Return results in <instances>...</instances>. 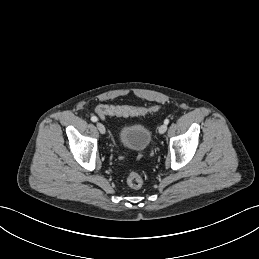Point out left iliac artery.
I'll use <instances>...</instances> for the list:
<instances>
[{"label":"left iliac artery","instance_id":"44dca946","mask_svg":"<svg viewBox=\"0 0 259 259\" xmlns=\"http://www.w3.org/2000/svg\"><path fill=\"white\" fill-rule=\"evenodd\" d=\"M168 123H169V119H165V120H164V124L167 125Z\"/></svg>","mask_w":259,"mask_h":259}]
</instances>
